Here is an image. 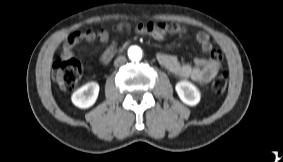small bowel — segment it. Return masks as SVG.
Returning a JSON list of instances; mask_svg holds the SVG:
<instances>
[{
  "label": "small bowel",
  "mask_w": 283,
  "mask_h": 162,
  "mask_svg": "<svg viewBox=\"0 0 283 162\" xmlns=\"http://www.w3.org/2000/svg\"><path fill=\"white\" fill-rule=\"evenodd\" d=\"M123 28V26H121ZM135 31L139 34L149 35L156 40H162L167 34H184L186 29L177 23H142L135 27ZM196 41L205 53H209V58H196L194 64L183 63L176 55L159 53L157 59L159 63L165 67L173 76L179 79H190L200 84L209 83L220 69V60L222 54L220 51H213L210 37L205 32H198L195 36ZM98 39L99 42L106 44L109 41V34L101 31L96 34L91 30L73 32L63 44L62 58H72L73 48L81 41L91 42ZM114 54V46L110 45L102 54L100 65L107 67L112 62Z\"/></svg>",
  "instance_id": "c3829d8e"
}]
</instances>
